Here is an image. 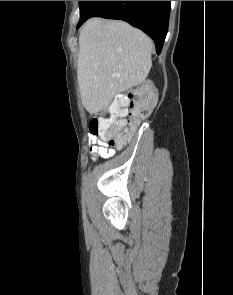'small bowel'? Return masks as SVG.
I'll list each match as a JSON object with an SVG mask.
<instances>
[{
    "instance_id": "c3829d8e",
    "label": "small bowel",
    "mask_w": 233,
    "mask_h": 295,
    "mask_svg": "<svg viewBox=\"0 0 233 295\" xmlns=\"http://www.w3.org/2000/svg\"><path fill=\"white\" fill-rule=\"evenodd\" d=\"M88 149L92 155L93 160L98 157L109 158L116 152V149L109 147L106 143L94 135L89 136Z\"/></svg>"
}]
</instances>
